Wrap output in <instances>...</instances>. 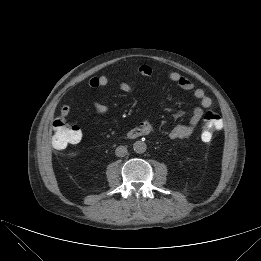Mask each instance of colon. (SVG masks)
<instances>
[{
  "instance_id": "obj_1",
  "label": "colon",
  "mask_w": 261,
  "mask_h": 261,
  "mask_svg": "<svg viewBox=\"0 0 261 261\" xmlns=\"http://www.w3.org/2000/svg\"><path fill=\"white\" fill-rule=\"evenodd\" d=\"M52 145L56 149H64L70 144L80 142L82 133L77 126L71 125L64 117H58L53 122ZM222 127L220 115L213 111H207L204 116V124L202 126V139L209 141L215 132Z\"/></svg>"
}]
</instances>
